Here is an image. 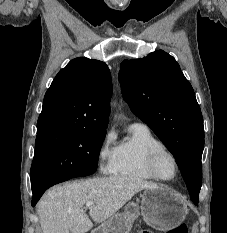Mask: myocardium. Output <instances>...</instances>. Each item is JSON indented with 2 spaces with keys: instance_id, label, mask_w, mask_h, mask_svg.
Wrapping results in <instances>:
<instances>
[{
  "instance_id": "obj_1",
  "label": "myocardium",
  "mask_w": 227,
  "mask_h": 233,
  "mask_svg": "<svg viewBox=\"0 0 227 233\" xmlns=\"http://www.w3.org/2000/svg\"><path fill=\"white\" fill-rule=\"evenodd\" d=\"M162 155H168L174 164V174L170 178L163 177L158 170V160ZM146 166L150 174L157 180L160 181H172L179 173V163L176 155L165 147L156 148L149 152L146 158Z\"/></svg>"
}]
</instances>
